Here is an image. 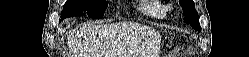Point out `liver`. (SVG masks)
<instances>
[{"label":"liver","mask_w":249,"mask_h":57,"mask_svg":"<svg viewBox=\"0 0 249 57\" xmlns=\"http://www.w3.org/2000/svg\"><path fill=\"white\" fill-rule=\"evenodd\" d=\"M75 57H131L143 46L157 42L158 34L149 27L133 23L86 24L71 36ZM144 42L139 46L140 40Z\"/></svg>","instance_id":"obj_1"}]
</instances>
